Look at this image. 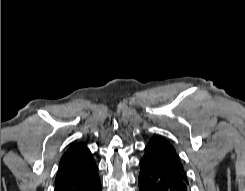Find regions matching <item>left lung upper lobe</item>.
<instances>
[{"instance_id":"1","label":"left lung upper lobe","mask_w":245,"mask_h":191,"mask_svg":"<svg viewBox=\"0 0 245 191\" xmlns=\"http://www.w3.org/2000/svg\"><path fill=\"white\" fill-rule=\"evenodd\" d=\"M146 148L152 149V150H157L160 153L169 156L170 158H173L175 160H179V157L176 153V150L174 149V147L166 140L159 138V137H155L152 138L148 145L146 146Z\"/></svg>"}]
</instances>
